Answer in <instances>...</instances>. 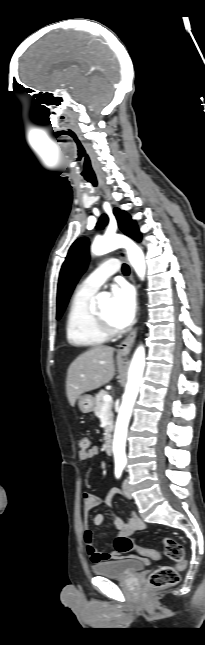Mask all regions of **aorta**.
Returning a JSON list of instances; mask_svg holds the SVG:
<instances>
[{"label":"aorta","mask_w":205,"mask_h":645,"mask_svg":"<svg viewBox=\"0 0 205 645\" xmlns=\"http://www.w3.org/2000/svg\"><path fill=\"white\" fill-rule=\"evenodd\" d=\"M124 247L127 250L128 260L134 268L137 275L143 279L146 272V264L144 253L139 246H137L130 239L121 236H104L96 239L91 247L93 254L97 256L104 255L117 248ZM109 295L102 292L98 295V300L102 303L108 300ZM145 367V349L139 346L132 358L129 372L128 382L126 385L125 393L122 398V404L118 413L114 438H113V454L116 464L124 465L126 463V437L129 420L132 413V408L139 392V385Z\"/></svg>","instance_id":"obj_1"}]
</instances>
